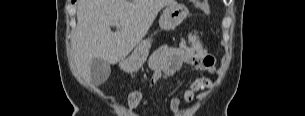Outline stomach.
I'll return each mask as SVG.
<instances>
[{"label":"stomach","instance_id":"0dacf381","mask_svg":"<svg viewBox=\"0 0 305 116\" xmlns=\"http://www.w3.org/2000/svg\"><path fill=\"white\" fill-rule=\"evenodd\" d=\"M189 11L183 4L175 3L168 5L159 19V26L162 30L175 29L188 16ZM152 44V38L142 40L134 51L126 58H123L119 66L127 73L138 71L147 60Z\"/></svg>","mask_w":305,"mask_h":116}]
</instances>
